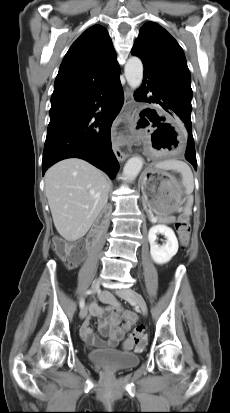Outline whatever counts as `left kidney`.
<instances>
[{"label":"left kidney","mask_w":230,"mask_h":413,"mask_svg":"<svg viewBox=\"0 0 230 413\" xmlns=\"http://www.w3.org/2000/svg\"><path fill=\"white\" fill-rule=\"evenodd\" d=\"M160 233L167 238V242L163 246L156 243L157 234ZM148 240L150 243V254L156 264L168 263L178 251V240L174 231L166 225H155L148 232Z\"/></svg>","instance_id":"1"}]
</instances>
